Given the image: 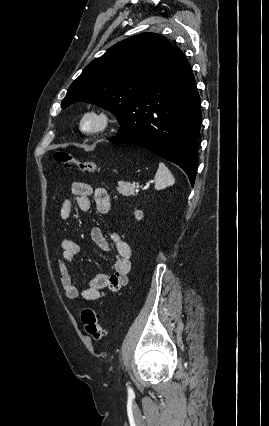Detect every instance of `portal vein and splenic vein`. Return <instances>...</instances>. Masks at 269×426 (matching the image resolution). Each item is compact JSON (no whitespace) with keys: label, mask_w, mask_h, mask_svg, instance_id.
I'll list each match as a JSON object with an SVG mask.
<instances>
[{"label":"portal vein and splenic vein","mask_w":269,"mask_h":426,"mask_svg":"<svg viewBox=\"0 0 269 426\" xmlns=\"http://www.w3.org/2000/svg\"><path fill=\"white\" fill-rule=\"evenodd\" d=\"M138 191H139V189L137 188V189H136V192H138Z\"/></svg>","instance_id":"obj_1"}]
</instances>
